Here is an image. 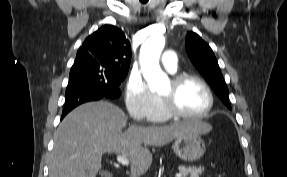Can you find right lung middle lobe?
Masks as SVG:
<instances>
[{
	"mask_svg": "<svg viewBox=\"0 0 287 177\" xmlns=\"http://www.w3.org/2000/svg\"><path fill=\"white\" fill-rule=\"evenodd\" d=\"M128 72H119L100 66L73 65L67 87L80 84L103 86L107 90L119 88Z\"/></svg>",
	"mask_w": 287,
	"mask_h": 177,
	"instance_id": "obj_1",
	"label": "right lung middle lobe"
}]
</instances>
